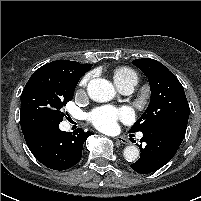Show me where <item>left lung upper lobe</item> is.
Listing matches in <instances>:
<instances>
[{
  "label": "left lung upper lobe",
  "mask_w": 201,
  "mask_h": 201,
  "mask_svg": "<svg viewBox=\"0 0 201 201\" xmlns=\"http://www.w3.org/2000/svg\"><path fill=\"white\" fill-rule=\"evenodd\" d=\"M133 64L147 76L151 100L129 132H143L154 125L170 121L188 123V101L175 75L154 59H135Z\"/></svg>",
  "instance_id": "left-lung-upper-lobe-1"
}]
</instances>
